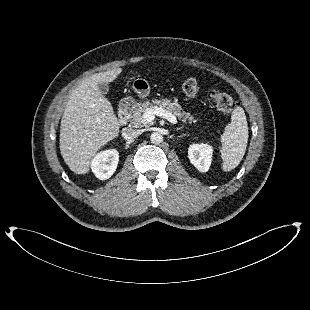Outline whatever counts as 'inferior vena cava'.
Returning <instances> with one entry per match:
<instances>
[{"instance_id":"602c4592","label":"inferior vena cava","mask_w":310,"mask_h":310,"mask_svg":"<svg viewBox=\"0 0 310 310\" xmlns=\"http://www.w3.org/2000/svg\"><path fill=\"white\" fill-rule=\"evenodd\" d=\"M141 133H142V130H136L132 128L125 129V135L129 139H136Z\"/></svg>"}]
</instances>
